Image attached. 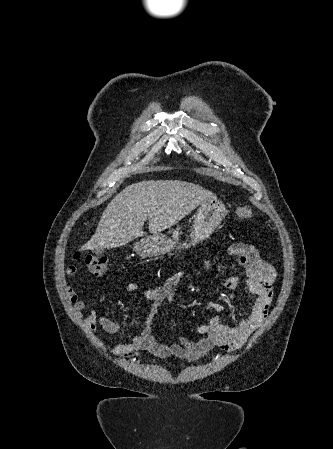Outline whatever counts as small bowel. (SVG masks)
<instances>
[{"mask_svg":"<svg viewBox=\"0 0 333 449\" xmlns=\"http://www.w3.org/2000/svg\"><path fill=\"white\" fill-rule=\"evenodd\" d=\"M228 253L236 258V263L229 266L223 278L224 285L230 290L244 289L256 296L250 311L236 326L223 324L220 320L222 306L212 303L210 308L214 313L208 324L201 325L197 329L200 334L199 340L191 341L185 337H180L178 342H157L152 334L157 311L164 300L174 301L176 299V287L181 278V275L177 274L164 285L144 291L143 296L148 301V307L144 314L140 333L129 342L110 347L111 353L122 358L135 359L139 356V352L144 351L159 359L173 356L194 361L206 355L214 347L235 349L241 346L266 318L273 299L276 272L273 266L249 244H234L229 248ZM237 266L246 267L248 270L246 279L236 275L235 269ZM205 267L212 270L214 265L211 262H206ZM76 272L77 268L73 265L66 269L69 277L75 276ZM65 293L73 306L74 312L81 314L87 308L86 303L79 298L72 286L68 285L65 288ZM85 321L92 331H96L97 325H100L109 334H115L121 328L119 322L113 321L96 311H91Z\"/></svg>","mask_w":333,"mask_h":449,"instance_id":"1","label":"small bowel"}]
</instances>
